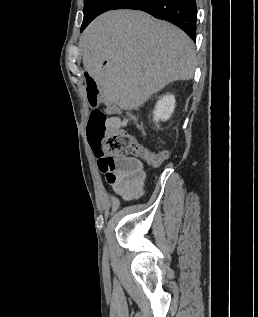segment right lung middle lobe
Wrapping results in <instances>:
<instances>
[{"instance_id":"obj_1","label":"right lung middle lobe","mask_w":258,"mask_h":317,"mask_svg":"<svg viewBox=\"0 0 258 317\" xmlns=\"http://www.w3.org/2000/svg\"><path fill=\"white\" fill-rule=\"evenodd\" d=\"M89 0H84V3L86 4Z\"/></svg>"}]
</instances>
